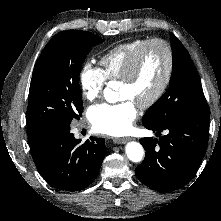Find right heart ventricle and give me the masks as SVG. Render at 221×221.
Here are the masks:
<instances>
[{
  "instance_id": "obj_1",
  "label": "right heart ventricle",
  "mask_w": 221,
  "mask_h": 221,
  "mask_svg": "<svg viewBox=\"0 0 221 221\" xmlns=\"http://www.w3.org/2000/svg\"><path fill=\"white\" fill-rule=\"evenodd\" d=\"M146 41L145 39H136L117 44L108 49L99 60L106 78L110 80L120 79L130 59Z\"/></svg>"
}]
</instances>
